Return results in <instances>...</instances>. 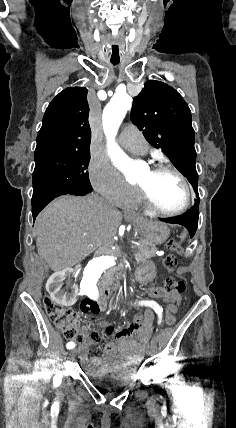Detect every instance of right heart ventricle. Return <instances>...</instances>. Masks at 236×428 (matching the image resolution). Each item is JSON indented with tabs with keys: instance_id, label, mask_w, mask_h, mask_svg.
Returning a JSON list of instances; mask_svg holds the SVG:
<instances>
[{
	"instance_id": "obj_1",
	"label": "right heart ventricle",
	"mask_w": 236,
	"mask_h": 428,
	"mask_svg": "<svg viewBox=\"0 0 236 428\" xmlns=\"http://www.w3.org/2000/svg\"><path fill=\"white\" fill-rule=\"evenodd\" d=\"M126 206L143 207L145 205L141 202L138 192L135 191L133 197L127 202Z\"/></svg>"
}]
</instances>
